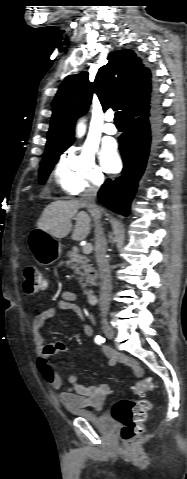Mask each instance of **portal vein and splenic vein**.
I'll list each match as a JSON object with an SVG mask.
<instances>
[{
  "label": "portal vein and splenic vein",
  "instance_id": "18ae733b",
  "mask_svg": "<svg viewBox=\"0 0 187 479\" xmlns=\"http://www.w3.org/2000/svg\"><path fill=\"white\" fill-rule=\"evenodd\" d=\"M92 251V245L91 244H86L84 247H83V253L84 254H90Z\"/></svg>",
  "mask_w": 187,
  "mask_h": 479
}]
</instances>
